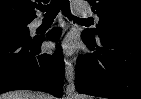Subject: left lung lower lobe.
Wrapping results in <instances>:
<instances>
[{
  "label": "left lung lower lobe",
  "mask_w": 141,
  "mask_h": 99,
  "mask_svg": "<svg viewBox=\"0 0 141 99\" xmlns=\"http://www.w3.org/2000/svg\"><path fill=\"white\" fill-rule=\"evenodd\" d=\"M82 40L96 51L77 59V91L111 99H141V35L103 33L96 41L82 33Z\"/></svg>",
  "instance_id": "obj_1"
}]
</instances>
